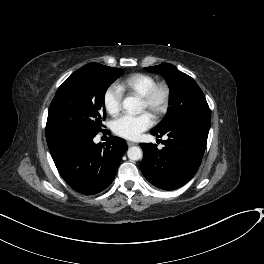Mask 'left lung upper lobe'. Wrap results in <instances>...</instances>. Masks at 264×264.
<instances>
[{"label": "left lung upper lobe", "mask_w": 264, "mask_h": 264, "mask_svg": "<svg viewBox=\"0 0 264 264\" xmlns=\"http://www.w3.org/2000/svg\"><path fill=\"white\" fill-rule=\"evenodd\" d=\"M149 72L162 74L172 91L167 116L151 132L163 133L176 123L193 116H210L205 96L193 78L169 63L146 67Z\"/></svg>", "instance_id": "1"}]
</instances>
